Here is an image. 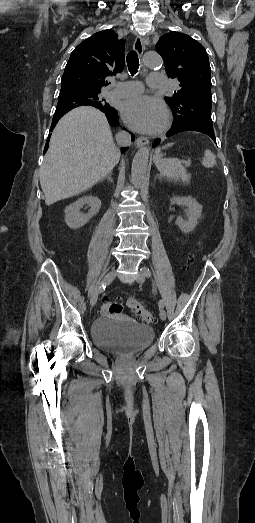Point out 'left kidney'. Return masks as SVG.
<instances>
[{
    "label": "left kidney",
    "mask_w": 255,
    "mask_h": 523,
    "mask_svg": "<svg viewBox=\"0 0 255 523\" xmlns=\"http://www.w3.org/2000/svg\"><path fill=\"white\" fill-rule=\"evenodd\" d=\"M170 202L171 204H181V206H186L187 210H185V212H187L188 220H183V218L178 216L176 224L184 234H189V232H192V230L197 226V220L202 214V206L198 204L195 198H191V196H185V198L174 196V198H171Z\"/></svg>",
    "instance_id": "1"
}]
</instances>
